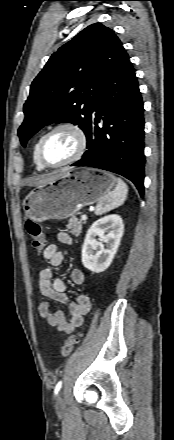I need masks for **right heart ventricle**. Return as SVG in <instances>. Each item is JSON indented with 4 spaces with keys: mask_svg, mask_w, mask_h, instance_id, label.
Segmentation results:
<instances>
[{
    "mask_svg": "<svg viewBox=\"0 0 174 440\" xmlns=\"http://www.w3.org/2000/svg\"><path fill=\"white\" fill-rule=\"evenodd\" d=\"M40 138L41 137H39L37 140H36V142H35V144H34V146H33V151H32V158H33V162H34V164H35V167H36V169L37 170H43L45 167H43L42 165H41V163L39 162V160H38V155H37V152H38V145H39V141H40Z\"/></svg>",
    "mask_w": 174,
    "mask_h": 440,
    "instance_id": "right-heart-ventricle-1",
    "label": "right heart ventricle"
}]
</instances>
